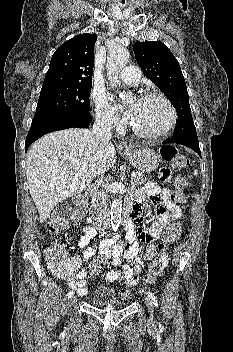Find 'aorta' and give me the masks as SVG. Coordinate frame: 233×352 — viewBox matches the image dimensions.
<instances>
[{
    "instance_id": "aorta-1",
    "label": "aorta",
    "mask_w": 233,
    "mask_h": 352,
    "mask_svg": "<svg viewBox=\"0 0 233 352\" xmlns=\"http://www.w3.org/2000/svg\"><path fill=\"white\" fill-rule=\"evenodd\" d=\"M129 52L124 47H116L115 49L109 52L107 58V76L109 83L112 87H117L120 85L118 80V73L120 70L126 66L129 61ZM129 93L119 92V97L125 101L130 99ZM121 215H122V200L121 198H115L112 201L111 209H110V221L111 227L113 231H117L121 223Z\"/></svg>"
}]
</instances>
